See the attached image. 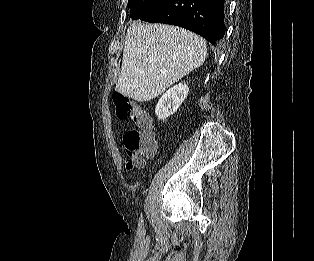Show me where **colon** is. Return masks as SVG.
I'll use <instances>...</instances> for the list:
<instances>
[{
	"instance_id": "5ec220e1",
	"label": "colon",
	"mask_w": 314,
	"mask_h": 261,
	"mask_svg": "<svg viewBox=\"0 0 314 261\" xmlns=\"http://www.w3.org/2000/svg\"><path fill=\"white\" fill-rule=\"evenodd\" d=\"M115 113L119 120L130 119L135 127L128 130L123 137V144L127 154L133 158L130 167L138 166L141 160L154 153L156 135L152 130V120L149 113L134 103L121 92L113 93Z\"/></svg>"
}]
</instances>
